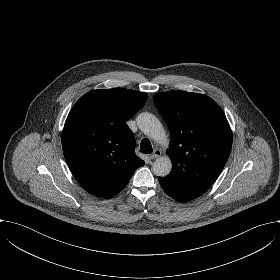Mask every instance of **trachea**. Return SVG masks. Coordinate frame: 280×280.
<instances>
[{
	"instance_id": "obj_1",
	"label": "trachea",
	"mask_w": 280,
	"mask_h": 280,
	"mask_svg": "<svg viewBox=\"0 0 280 280\" xmlns=\"http://www.w3.org/2000/svg\"><path fill=\"white\" fill-rule=\"evenodd\" d=\"M140 152L144 153V154H150L152 153V145L149 139L144 138L141 141V145H140Z\"/></svg>"
}]
</instances>
